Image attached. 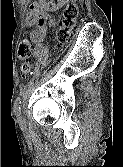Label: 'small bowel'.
Returning a JSON list of instances; mask_svg holds the SVG:
<instances>
[{
  "mask_svg": "<svg viewBox=\"0 0 123 167\" xmlns=\"http://www.w3.org/2000/svg\"><path fill=\"white\" fill-rule=\"evenodd\" d=\"M65 0H56L61 3ZM45 3V2H44ZM45 4L35 3L31 6L30 12L26 16V23L28 25L37 24L36 28L28 34V39L34 44L31 55L34 58H41L44 54L43 40L47 35L48 28L55 25V20L51 17L44 7ZM57 8V7H53Z\"/></svg>",
  "mask_w": 123,
  "mask_h": 167,
  "instance_id": "1",
  "label": "small bowel"
}]
</instances>
